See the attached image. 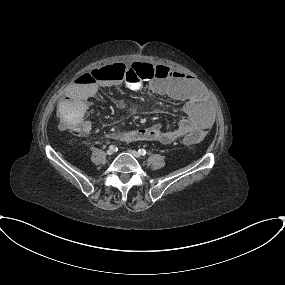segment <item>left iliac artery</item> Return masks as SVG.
Segmentation results:
<instances>
[{"mask_svg": "<svg viewBox=\"0 0 285 285\" xmlns=\"http://www.w3.org/2000/svg\"><path fill=\"white\" fill-rule=\"evenodd\" d=\"M138 152H139L140 155H143V156L146 155V150L145 149H139Z\"/></svg>", "mask_w": 285, "mask_h": 285, "instance_id": "44dca946", "label": "left iliac artery"}]
</instances>
